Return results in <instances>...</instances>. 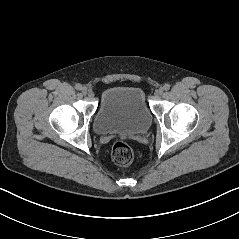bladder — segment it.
Masks as SVG:
<instances>
[{
    "label": "bladder",
    "instance_id": "bladder-1",
    "mask_svg": "<svg viewBox=\"0 0 239 239\" xmlns=\"http://www.w3.org/2000/svg\"><path fill=\"white\" fill-rule=\"evenodd\" d=\"M152 123L144 92L137 86L107 89L95 114L93 126L99 135H142Z\"/></svg>",
    "mask_w": 239,
    "mask_h": 239
}]
</instances>
